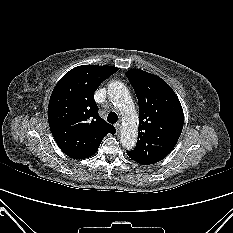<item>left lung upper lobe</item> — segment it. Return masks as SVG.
I'll return each mask as SVG.
<instances>
[{"label":"left lung upper lobe","mask_w":233,"mask_h":233,"mask_svg":"<svg viewBox=\"0 0 233 233\" xmlns=\"http://www.w3.org/2000/svg\"><path fill=\"white\" fill-rule=\"evenodd\" d=\"M126 76L139 102L138 140L127 154L143 165L159 162L172 151L182 132L181 103L172 88L156 75L131 69Z\"/></svg>","instance_id":"1"}]
</instances>
